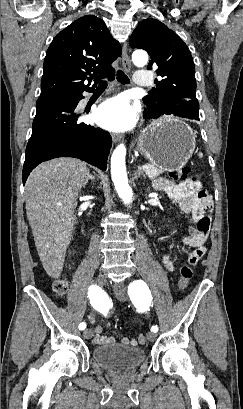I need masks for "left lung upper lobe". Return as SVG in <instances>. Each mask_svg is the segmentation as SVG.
<instances>
[{"label": "left lung upper lobe", "instance_id": "obj_1", "mask_svg": "<svg viewBox=\"0 0 243 409\" xmlns=\"http://www.w3.org/2000/svg\"><path fill=\"white\" fill-rule=\"evenodd\" d=\"M130 46L146 50L151 58L147 69H155L162 78L143 98L147 111L163 115L179 105L199 110L195 65L189 48L174 31L156 19H144L131 35Z\"/></svg>", "mask_w": 243, "mask_h": 409}]
</instances>
